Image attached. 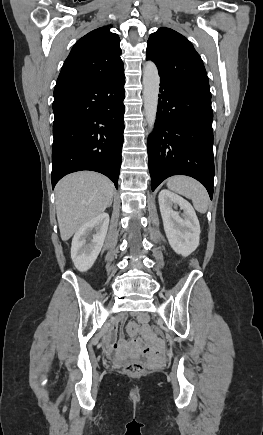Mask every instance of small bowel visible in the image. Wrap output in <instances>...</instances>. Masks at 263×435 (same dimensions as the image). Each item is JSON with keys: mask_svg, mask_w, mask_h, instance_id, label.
<instances>
[{"mask_svg": "<svg viewBox=\"0 0 263 435\" xmlns=\"http://www.w3.org/2000/svg\"><path fill=\"white\" fill-rule=\"evenodd\" d=\"M138 318L143 324L149 321V316L145 313L140 314ZM124 320L125 316H121L120 321L123 322ZM131 326L133 332H136L139 328L135 323ZM143 339L144 341H151L150 347H142L141 338L139 336H134L132 341H127L123 336H121L118 342H111L109 339L108 343L110 345V349L116 353L128 351L138 353L141 350L142 356H151V359L155 362V364H164L165 357L162 355L163 343L162 341H158L160 339V334L158 332H144Z\"/></svg>", "mask_w": 263, "mask_h": 435, "instance_id": "1", "label": "small bowel"}]
</instances>
